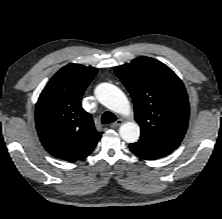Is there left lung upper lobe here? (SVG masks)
<instances>
[{"instance_id": "left-lung-upper-lobe-1", "label": "left lung upper lobe", "mask_w": 222, "mask_h": 219, "mask_svg": "<svg viewBox=\"0 0 222 219\" xmlns=\"http://www.w3.org/2000/svg\"><path fill=\"white\" fill-rule=\"evenodd\" d=\"M115 73L132 96L140 139L176 149L189 120L188 97L178 76L149 57L118 66Z\"/></svg>"}]
</instances>
